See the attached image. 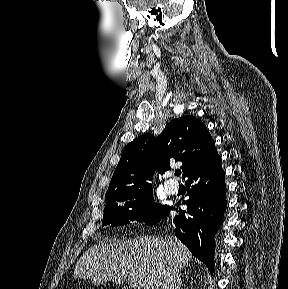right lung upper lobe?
Listing matches in <instances>:
<instances>
[{
    "mask_svg": "<svg viewBox=\"0 0 288 289\" xmlns=\"http://www.w3.org/2000/svg\"><path fill=\"white\" fill-rule=\"evenodd\" d=\"M217 152L206 126L193 116L169 122L155 138L149 133L129 143L122 152L106 193L152 187V173L170 169V161H181L183 178Z\"/></svg>",
    "mask_w": 288,
    "mask_h": 289,
    "instance_id": "1",
    "label": "right lung upper lobe"
}]
</instances>
